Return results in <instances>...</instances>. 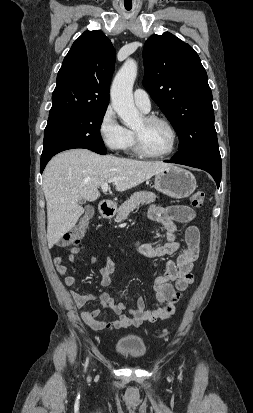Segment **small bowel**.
Instances as JSON below:
<instances>
[{"label":"small bowel","instance_id":"1","mask_svg":"<svg viewBox=\"0 0 253 413\" xmlns=\"http://www.w3.org/2000/svg\"><path fill=\"white\" fill-rule=\"evenodd\" d=\"M148 219L163 225L165 239L157 241L155 245L137 243L138 251L146 257H161L171 255L181 248V243L175 239L177 230L176 223L186 224L184 232L185 247L180 250L175 260L167 262L164 270L156 274L153 280V290L155 294L156 306L152 309L146 308L143 297H139L135 306L127 309L122 302H115L107 293L102 292L100 298L101 309L82 308L90 301L97 298L93 293H81L76 290L70 292L71 298L85 322L93 330L104 329H125L128 327H139L144 322H156L172 316L177 310V303L182 298L187 287L193 282L192 268L194 261L199 255L200 234L198 228L193 224L195 211L184 205L162 206L151 204L146 209ZM84 246H74L70 250L69 262L73 263L76 256ZM122 252V250L120 251ZM93 264L97 263L96 257H91ZM53 265L57 273L63 277L66 286H73L76 278L68 274V268L62 263V258L56 256ZM115 271L113 261L108 258L98 269L101 287H107L111 283ZM110 310L117 315V319L111 322L99 320L103 310Z\"/></svg>","mask_w":253,"mask_h":413}]
</instances>
